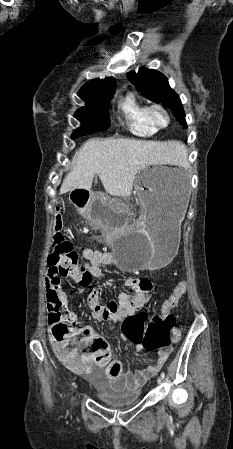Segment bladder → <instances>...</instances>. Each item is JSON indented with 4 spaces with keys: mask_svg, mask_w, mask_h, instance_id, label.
Here are the masks:
<instances>
[{
    "mask_svg": "<svg viewBox=\"0 0 233 449\" xmlns=\"http://www.w3.org/2000/svg\"><path fill=\"white\" fill-rule=\"evenodd\" d=\"M97 398L110 408H123L139 401L141 390L139 388L124 387L116 389L103 380L94 382Z\"/></svg>",
    "mask_w": 233,
    "mask_h": 449,
    "instance_id": "obj_1",
    "label": "bladder"
}]
</instances>
